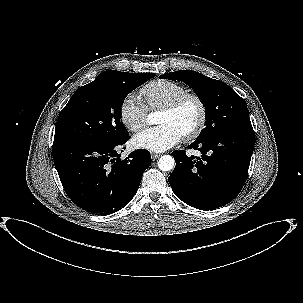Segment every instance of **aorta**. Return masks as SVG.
I'll return each instance as SVG.
<instances>
[{
	"mask_svg": "<svg viewBox=\"0 0 303 303\" xmlns=\"http://www.w3.org/2000/svg\"><path fill=\"white\" fill-rule=\"evenodd\" d=\"M147 120H148L149 123H153L154 122V115L149 114ZM174 164H175V160L172 156L163 155L159 159L158 167L162 171H170L174 167Z\"/></svg>",
	"mask_w": 303,
	"mask_h": 303,
	"instance_id": "762f6f07",
	"label": "aorta"
}]
</instances>
